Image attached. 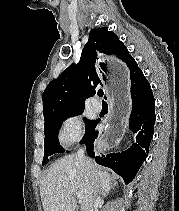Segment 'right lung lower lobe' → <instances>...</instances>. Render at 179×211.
<instances>
[{
  "instance_id": "right-lung-lower-lobe-1",
  "label": "right lung lower lobe",
  "mask_w": 179,
  "mask_h": 211,
  "mask_svg": "<svg viewBox=\"0 0 179 211\" xmlns=\"http://www.w3.org/2000/svg\"><path fill=\"white\" fill-rule=\"evenodd\" d=\"M131 113L129 127L136 134L135 142L125 151L96 156L93 152V143L98 136L96 124L84 142L90 157L103 166L109 167L120 175L125 183H130L146 159L150 141L153 137L155 123V101L151 86L141 69L131 76Z\"/></svg>"
}]
</instances>
